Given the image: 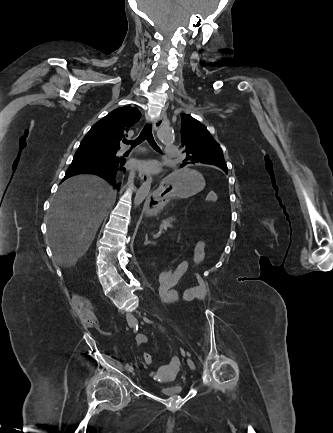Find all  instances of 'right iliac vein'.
I'll return each instance as SVG.
<instances>
[{"label": "right iliac vein", "instance_id": "63e3f726", "mask_svg": "<svg viewBox=\"0 0 333 433\" xmlns=\"http://www.w3.org/2000/svg\"><path fill=\"white\" fill-rule=\"evenodd\" d=\"M134 325H131V327H133ZM128 371L130 372V373H132L133 372V367L132 366H130L129 368H128Z\"/></svg>", "mask_w": 333, "mask_h": 433}]
</instances>
